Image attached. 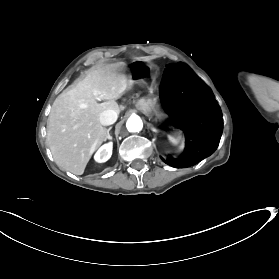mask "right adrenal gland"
<instances>
[{
    "label": "right adrenal gland",
    "mask_w": 279,
    "mask_h": 279,
    "mask_svg": "<svg viewBox=\"0 0 279 279\" xmlns=\"http://www.w3.org/2000/svg\"><path fill=\"white\" fill-rule=\"evenodd\" d=\"M112 129V127H109L107 130V138L112 139V136L110 135V130Z\"/></svg>",
    "instance_id": "1"
}]
</instances>
